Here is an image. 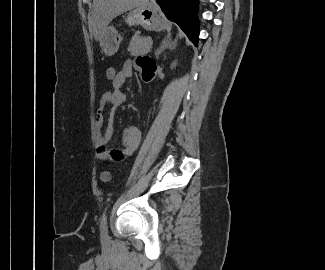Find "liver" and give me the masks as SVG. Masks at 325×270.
<instances>
[{"mask_svg":"<svg viewBox=\"0 0 325 270\" xmlns=\"http://www.w3.org/2000/svg\"><path fill=\"white\" fill-rule=\"evenodd\" d=\"M145 3L148 0H93L91 24L95 40L101 42L105 29L119 14Z\"/></svg>","mask_w":325,"mask_h":270,"instance_id":"obj_1","label":"liver"}]
</instances>
